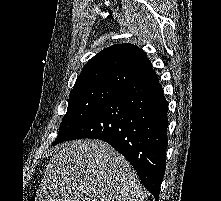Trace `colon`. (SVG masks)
<instances>
[{"label": "colon", "mask_w": 221, "mask_h": 201, "mask_svg": "<svg viewBox=\"0 0 221 201\" xmlns=\"http://www.w3.org/2000/svg\"><path fill=\"white\" fill-rule=\"evenodd\" d=\"M29 201H36V199H34V198H31Z\"/></svg>", "instance_id": "1"}]
</instances>
